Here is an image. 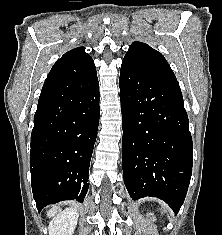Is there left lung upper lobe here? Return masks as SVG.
<instances>
[{
  "label": "left lung upper lobe",
  "instance_id": "left-lung-upper-lobe-1",
  "mask_svg": "<svg viewBox=\"0 0 222 235\" xmlns=\"http://www.w3.org/2000/svg\"><path fill=\"white\" fill-rule=\"evenodd\" d=\"M123 61L177 82L164 56L146 43L135 42L130 45Z\"/></svg>",
  "mask_w": 222,
  "mask_h": 235
}]
</instances>
